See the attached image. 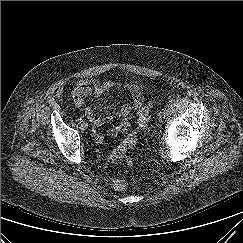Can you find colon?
Listing matches in <instances>:
<instances>
[{"instance_id":"1","label":"colon","mask_w":243,"mask_h":243,"mask_svg":"<svg viewBox=\"0 0 243 243\" xmlns=\"http://www.w3.org/2000/svg\"><path fill=\"white\" fill-rule=\"evenodd\" d=\"M151 106H152V103L148 102L146 105H144L143 107H141L138 110L136 130L132 135L125 138L113 150V152L111 154V158L113 161L121 162L123 160L124 155L128 152V150L131 149L135 145L137 133L148 122V114H149V110H150ZM126 186H127V184H126L125 180H123L122 178L117 177L112 180V187L115 190H119V191L124 190L126 188Z\"/></svg>"}]
</instances>
